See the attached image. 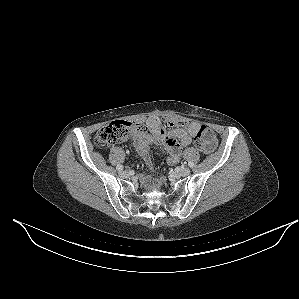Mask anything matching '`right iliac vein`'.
I'll return each instance as SVG.
<instances>
[{
  "label": "right iliac vein",
  "mask_w": 299,
  "mask_h": 299,
  "mask_svg": "<svg viewBox=\"0 0 299 299\" xmlns=\"http://www.w3.org/2000/svg\"><path fill=\"white\" fill-rule=\"evenodd\" d=\"M120 177H122V178H127L128 176H129V174H128V172H126V171H122V172H120Z\"/></svg>",
  "instance_id": "obj_1"
}]
</instances>
